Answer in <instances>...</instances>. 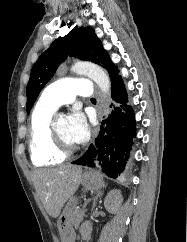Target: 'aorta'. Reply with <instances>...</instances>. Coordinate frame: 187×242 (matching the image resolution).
<instances>
[{"mask_svg":"<svg viewBox=\"0 0 187 242\" xmlns=\"http://www.w3.org/2000/svg\"><path fill=\"white\" fill-rule=\"evenodd\" d=\"M71 70L74 73L88 76L104 94L109 93L111 87L109 76L98 65L89 62H77L72 66Z\"/></svg>","mask_w":187,"mask_h":242,"instance_id":"obj_1","label":"aorta"}]
</instances>
